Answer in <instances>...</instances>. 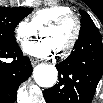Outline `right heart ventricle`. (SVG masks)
<instances>
[{"mask_svg":"<svg viewBox=\"0 0 103 103\" xmlns=\"http://www.w3.org/2000/svg\"><path fill=\"white\" fill-rule=\"evenodd\" d=\"M67 13H72V10L69 7L64 5H51L34 12L31 18V22L38 30L52 20Z\"/></svg>","mask_w":103,"mask_h":103,"instance_id":"obj_1","label":"right heart ventricle"}]
</instances>
